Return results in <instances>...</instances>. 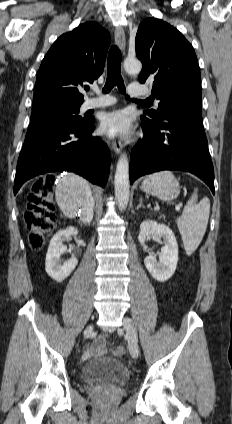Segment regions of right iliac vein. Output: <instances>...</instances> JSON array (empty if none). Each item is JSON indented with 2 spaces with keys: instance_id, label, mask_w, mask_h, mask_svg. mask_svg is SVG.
I'll return each instance as SVG.
<instances>
[{
  "instance_id": "right-iliac-vein-1",
  "label": "right iliac vein",
  "mask_w": 232,
  "mask_h": 424,
  "mask_svg": "<svg viewBox=\"0 0 232 424\" xmlns=\"http://www.w3.org/2000/svg\"><path fill=\"white\" fill-rule=\"evenodd\" d=\"M93 332V325H89L84 331V337H89Z\"/></svg>"
}]
</instances>
